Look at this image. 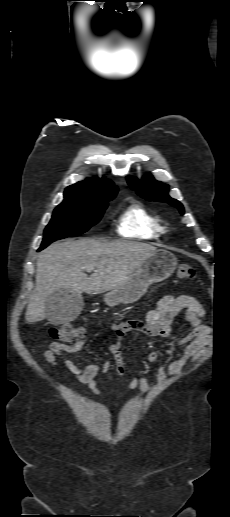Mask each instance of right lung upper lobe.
<instances>
[{
    "mask_svg": "<svg viewBox=\"0 0 230 517\" xmlns=\"http://www.w3.org/2000/svg\"><path fill=\"white\" fill-rule=\"evenodd\" d=\"M117 192V187L113 182L92 178L80 181L74 185L68 186L64 192V200H88L100 197L103 194Z\"/></svg>",
    "mask_w": 230,
    "mask_h": 517,
    "instance_id": "1",
    "label": "right lung upper lobe"
}]
</instances>
